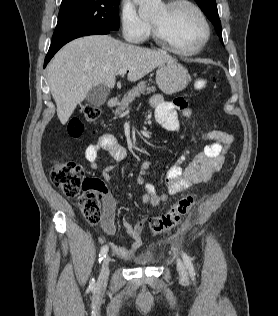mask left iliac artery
Returning a JSON list of instances; mask_svg holds the SVG:
<instances>
[{"label":"left iliac artery","mask_w":278,"mask_h":316,"mask_svg":"<svg viewBox=\"0 0 278 316\" xmlns=\"http://www.w3.org/2000/svg\"><path fill=\"white\" fill-rule=\"evenodd\" d=\"M182 257L184 260V263L186 265V267L188 268L189 272L194 275V267L193 264L191 262V259L189 258V256L186 253H182Z\"/></svg>","instance_id":"obj_1"}]
</instances>
